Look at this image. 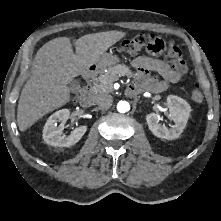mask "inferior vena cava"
Listing matches in <instances>:
<instances>
[{"label":"inferior vena cava","instance_id":"602c4592","mask_svg":"<svg viewBox=\"0 0 221 221\" xmlns=\"http://www.w3.org/2000/svg\"><path fill=\"white\" fill-rule=\"evenodd\" d=\"M95 103L102 108H109L113 103V98L109 94H100L95 97Z\"/></svg>","mask_w":221,"mask_h":221}]
</instances>
